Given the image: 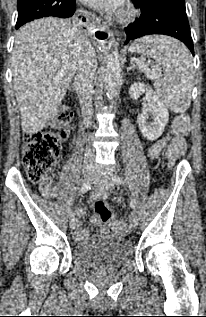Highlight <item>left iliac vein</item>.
Listing matches in <instances>:
<instances>
[{"label": "left iliac vein", "instance_id": "4c4485c4", "mask_svg": "<svg viewBox=\"0 0 206 317\" xmlns=\"http://www.w3.org/2000/svg\"><path fill=\"white\" fill-rule=\"evenodd\" d=\"M94 183L106 190H111L113 188V182L108 176L96 175L94 177ZM130 224L133 228H136L138 225V217L134 212L130 215Z\"/></svg>", "mask_w": 206, "mask_h": 317}]
</instances>
